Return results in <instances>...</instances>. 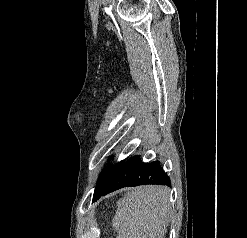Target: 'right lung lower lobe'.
Here are the masks:
<instances>
[{
    "mask_svg": "<svg viewBox=\"0 0 247 238\" xmlns=\"http://www.w3.org/2000/svg\"><path fill=\"white\" fill-rule=\"evenodd\" d=\"M143 184L169 185V177L163 172L158 161L143 163L138 156L127 162H120L106 188L93 199L98 200L110 192L125 186Z\"/></svg>",
    "mask_w": 247,
    "mask_h": 238,
    "instance_id": "98d812e1",
    "label": "right lung lower lobe"
}]
</instances>
